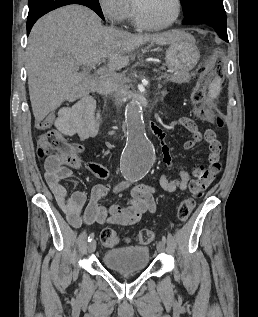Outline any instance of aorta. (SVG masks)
Returning <instances> with one entry per match:
<instances>
[{
  "instance_id": "762f6f07",
  "label": "aorta",
  "mask_w": 258,
  "mask_h": 317,
  "mask_svg": "<svg viewBox=\"0 0 258 317\" xmlns=\"http://www.w3.org/2000/svg\"><path fill=\"white\" fill-rule=\"evenodd\" d=\"M126 147L121 157V172L126 179H142L151 169L155 150L145 131L141 105L132 100L125 109Z\"/></svg>"
}]
</instances>
